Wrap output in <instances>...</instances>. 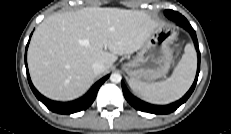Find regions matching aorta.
<instances>
[{
	"instance_id": "1",
	"label": "aorta",
	"mask_w": 231,
	"mask_h": 134,
	"mask_svg": "<svg viewBox=\"0 0 231 134\" xmlns=\"http://www.w3.org/2000/svg\"><path fill=\"white\" fill-rule=\"evenodd\" d=\"M121 79H122V76L119 73L115 72L110 75V80L113 83H119L121 82Z\"/></svg>"
}]
</instances>
